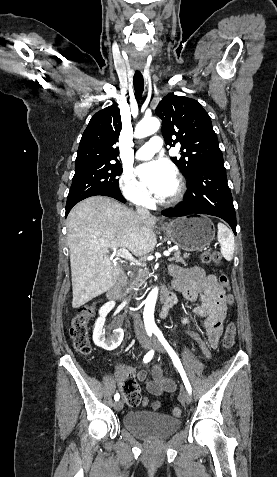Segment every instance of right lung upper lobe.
<instances>
[{
  "label": "right lung upper lobe",
  "mask_w": 277,
  "mask_h": 477,
  "mask_svg": "<svg viewBox=\"0 0 277 477\" xmlns=\"http://www.w3.org/2000/svg\"><path fill=\"white\" fill-rule=\"evenodd\" d=\"M122 123L119 108L113 104L97 112L85 129L78 148L75 167L94 163H117Z\"/></svg>",
  "instance_id": "obj_1"
}]
</instances>
